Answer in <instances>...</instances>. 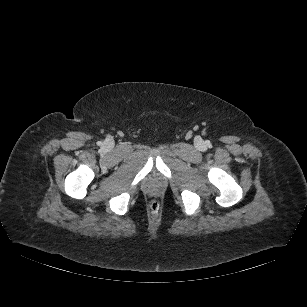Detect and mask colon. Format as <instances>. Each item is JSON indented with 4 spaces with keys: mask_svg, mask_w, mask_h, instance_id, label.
Returning a JSON list of instances; mask_svg holds the SVG:
<instances>
[{
    "mask_svg": "<svg viewBox=\"0 0 307 307\" xmlns=\"http://www.w3.org/2000/svg\"><path fill=\"white\" fill-rule=\"evenodd\" d=\"M160 208V205L157 201H152L150 203V209L153 211V212H157Z\"/></svg>",
    "mask_w": 307,
    "mask_h": 307,
    "instance_id": "1",
    "label": "colon"
}]
</instances>
